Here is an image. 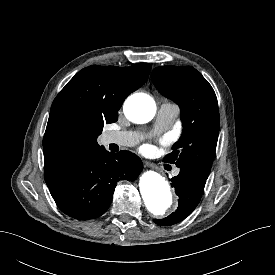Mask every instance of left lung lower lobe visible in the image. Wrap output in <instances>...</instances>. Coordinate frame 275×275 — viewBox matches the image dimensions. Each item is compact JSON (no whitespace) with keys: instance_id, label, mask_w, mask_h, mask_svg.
<instances>
[{"instance_id":"1","label":"left lung lower lobe","mask_w":275,"mask_h":275,"mask_svg":"<svg viewBox=\"0 0 275 275\" xmlns=\"http://www.w3.org/2000/svg\"><path fill=\"white\" fill-rule=\"evenodd\" d=\"M209 172L200 167L188 165L180 167V173L171 179L175 193L179 196L177 210L164 219H154L159 225H173L189 216L198 205Z\"/></svg>"}]
</instances>
